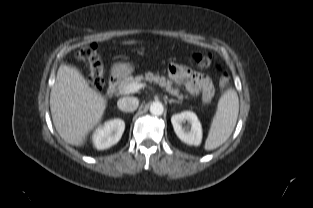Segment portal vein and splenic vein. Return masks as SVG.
<instances>
[{"label": "portal vein and splenic vein", "mask_w": 313, "mask_h": 208, "mask_svg": "<svg viewBox=\"0 0 313 208\" xmlns=\"http://www.w3.org/2000/svg\"><path fill=\"white\" fill-rule=\"evenodd\" d=\"M145 85L142 83H132L130 85L127 86L125 93L129 94V93H135L137 92L139 89L143 88Z\"/></svg>", "instance_id": "1"}]
</instances>
